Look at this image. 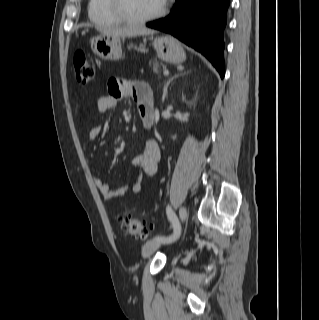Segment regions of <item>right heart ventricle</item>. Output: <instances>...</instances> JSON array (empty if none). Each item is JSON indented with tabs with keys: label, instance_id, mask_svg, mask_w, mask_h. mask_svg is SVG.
Wrapping results in <instances>:
<instances>
[{
	"label": "right heart ventricle",
	"instance_id": "e07e8e85",
	"mask_svg": "<svg viewBox=\"0 0 319 320\" xmlns=\"http://www.w3.org/2000/svg\"><path fill=\"white\" fill-rule=\"evenodd\" d=\"M88 16L92 22L101 26H114L123 23L110 11L108 0H89Z\"/></svg>",
	"mask_w": 319,
	"mask_h": 320
}]
</instances>
